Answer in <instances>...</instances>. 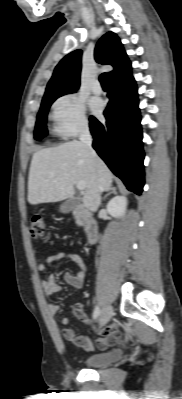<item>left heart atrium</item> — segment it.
I'll use <instances>...</instances> for the list:
<instances>
[{
  "label": "left heart atrium",
  "mask_w": 182,
  "mask_h": 399,
  "mask_svg": "<svg viewBox=\"0 0 182 399\" xmlns=\"http://www.w3.org/2000/svg\"><path fill=\"white\" fill-rule=\"evenodd\" d=\"M91 110L93 113H99L102 110V103L98 99H94L90 103Z\"/></svg>",
  "instance_id": "left-heart-atrium-1"
}]
</instances>
